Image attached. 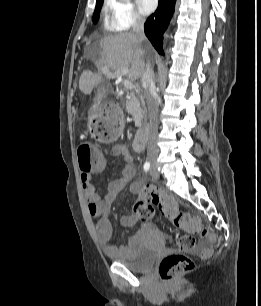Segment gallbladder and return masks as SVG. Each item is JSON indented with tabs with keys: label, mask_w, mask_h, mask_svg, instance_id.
Here are the masks:
<instances>
[{
	"label": "gallbladder",
	"mask_w": 261,
	"mask_h": 306,
	"mask_svg": "<svg viewBox=\"0 0 261 306\" xmlns=\"http://www.w3.org/2000/svg\"><path fill=\"white\" fill-rule=\"evenodd\" d=\"M105 92H106V88L104 86H101L96 95V100H99L101 97H103Z\"/></svg>",
	"instance_id": "1"
}]
</instances>
